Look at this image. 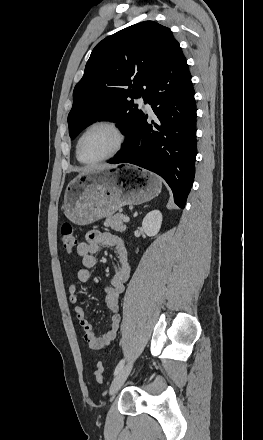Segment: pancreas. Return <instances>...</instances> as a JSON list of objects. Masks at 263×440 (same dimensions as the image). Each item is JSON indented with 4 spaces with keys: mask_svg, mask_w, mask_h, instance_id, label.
<instances>
[{
    "mask_svg": "<svg viewBox=\"0 0 263 440\" xmlns=\"http://www.w3.org/2000/svg\"><path fill=\"white\" fill-rule=\"evenodd\" d=\"M124 215L121 213L114 214L106 218L104 225L119 232L126 230V225L123 223Z\"/></svg>",
    "mask_w": 263,
    "mask_h": 440,
    "instance_id": "obj_1",
    "label": "pancreas"
}]
</instances>
